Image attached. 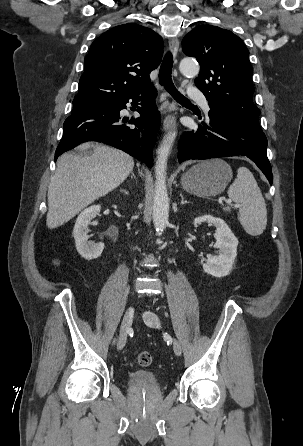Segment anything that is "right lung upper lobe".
<instances>
[{
	"mask_svg": "<svg viewBox=\"0 0 303 446\" xmlns=\"http://www.w3.org/2000/svg\"><path fill=\"white\" fill-rule=\"evenodd\" d=\"M163 47L157 33L135 23L106 31L92 43L84 60L76 98L94 107L154 88L149 73L160 64Z\"/></svg>",
	"mask_w": 303,
	"mask_h": 446,
	"instance_id": "1",
	"label": "right lung upper lobe"
}]
</instances>
